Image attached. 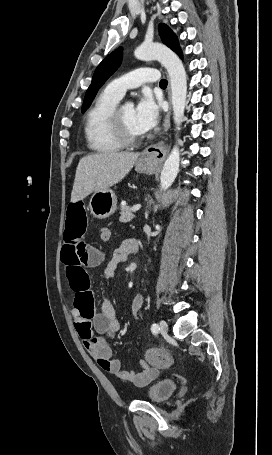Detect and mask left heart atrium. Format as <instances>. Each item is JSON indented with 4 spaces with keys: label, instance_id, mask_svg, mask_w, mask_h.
<instances>
[{
    "label": "left heart atrium",
    "instance_id": "left-heart-atrium-1",
    "mask_svg": "<svg viewBox=\"0 0 272 455\" xmlns=\"http://www.w3.org/2000/svg\"><path fill=\"white\" fill-rule=\"evenodd\" d=\"M134 112L135 125L141 134L152 130L158 123L160 113L159 105L148 93L140 98L137 106L134 108Z\"/></svg>",
    "mask_w": 272,
    "mask_h": 455
}]
</instances>
